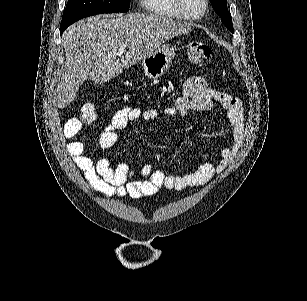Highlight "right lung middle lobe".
Masks as SVG:
<instances>
[{
  "mask_svg": "<svg viewBox=\"0 0 307 301\" xmlns=\"http://www.w3.org/2000/svg\"><path fill=\"white\" fill-rule=\"evenodd\" d=\"M129 6V0H68L60 25V34L79 19L101 13L127 12Z\"/></svg>",
  "mask_w": 307,
  "mask_h": 301,
  "instance_id": "right-lung-middle-lobe-1",
  "label": "right lung middle lobe"
}]
</instances>
